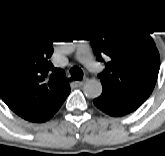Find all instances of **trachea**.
<instances>
[{
    "instance_id": "obj_1",
    "label": "trachea",
    "mask_w": 165,
    "mask_h": 156,
    "mask_svg": "<svg viewBox=\"0 0 165 156\" xmlns=\"http://www.w3.org/2000/svg\"><path fill=\"white\" fill-rule=\"evenodd\" d=\"M70 74L71 77L69 78V81L82 80L83 78V71L79 67L71 68Z\"/></svg>"
}]
</instances>
